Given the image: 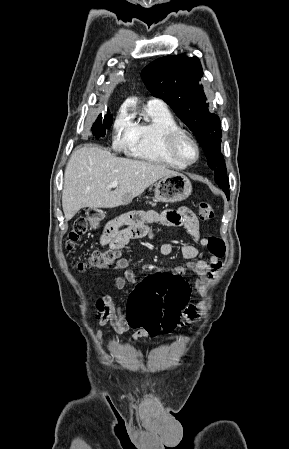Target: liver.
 <instances>
[{
    "label": "liver",
    "instance_id": "6515ba94",
    "mask_svg": "<svg viewBox=\"0 0 289 449\" xmlns=\"http://www.w3.org/2000/svg\"><path fill=\"white\" fill-rule=\"evenodd\" d=\"M178 172L149 161L119 158L99 147L73 151L64 173L62 207L65 219L82 208L127 205L159 179ZM118 181L115 190L109 185Z\"/></svg>",
    "mask_w": 289,
    "mask_h": 449
}]
</instances>
